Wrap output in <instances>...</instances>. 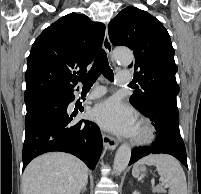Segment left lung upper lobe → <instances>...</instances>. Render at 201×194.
<instances>
[{
  "instance_id": "5c2ea615",
  "label": "left lung upper lobe",
  "mask_w": 201,
  "mask_h": 194,
  "mask_svg": "<svg viewBox=\"0 0 201 194\" xmlns=\"http://www.w3.org/2000/svg\"><path fill=\"white\" fill-rule=\"evenodd\" d=\"M108 32L114 46H127L134 53L135 61L129 67H134V79L141 89L130 97L131 104L142 112L158 100L176 103L178 68L170 36L160 21L128 6L111 20Z\"/></svg>"
}]
</instances>
